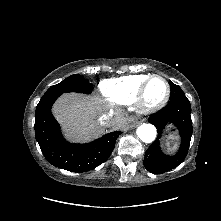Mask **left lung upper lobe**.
<instances>
[{
    "instance_id": "5c2ea615",
    "label": "left lung upper lobe",
    "mask_w": 221,
    "mask_h": 221,
    "mask_svg": "<svg viewBox=\"0 0 221 221\" xmlns=\"http://www.w3.org/2000/svg\"><path fill=\"white\" fill-rule=\"evenodd\" d=\"M170 87H171V93H170V100L175 98H183L186 97L182 89L178 86L169 81Z\"/></svg>"
}]
</instances>
